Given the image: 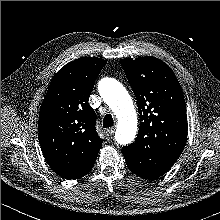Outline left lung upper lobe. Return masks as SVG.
I'll return each instance as SVG.
<instances>
[{"instance_id": "left-lung-upper-lobe-1", "label": "left lung upper lobe", "mask_w": 220, "mask_h": 220, "mask_svg": "<svg viewBox=\"0 0 220 220\" xmlns=\"http://www.w3.org/2000/svg\"><path fill=\"white\" fill-rule=\"evenodd\" d=\"M138 101L140 128L124 157L138 169L166 173L187 140V116L181 86L170 67L155 57L120 60Z\"/></svg>"}]
</instances>
